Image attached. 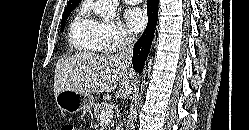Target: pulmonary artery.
<instances>
[{"instance_id": "obj_1", "label": "pulmonary artery", "mask_w": 249, "mask_h": 130, "mask_svg": "<svg viewBox=\"0 0 249 130\" xmlns=\"http://www.w3.org/2000/svg\"><path fill=\"white\" fill-rule=\"evenodd\" d=\"M129 4H136L139 3L141 0H125Z\"/></svg>"}]
</instances>
